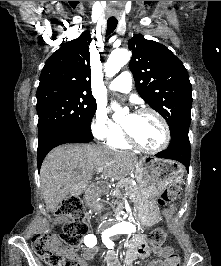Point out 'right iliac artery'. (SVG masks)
Returning a JSON list of instances; mask_svg holds the SVG:
<instances>
[{"label":"right iliac artery","mask_w":221,"mask_h":266,"mask_svg":"<svg viewBox=\"0 0 221 266\" xmlns=\"http://www.w3.org/2000/svg\"><path fill=\"white\" fill-rule=\"evenodd\" d=\"M84 243L88 247H94L97 244L96 236L94 234H88L84 238Z\"/></svg>","instance_id":"82829eb1"}]
</instances>
